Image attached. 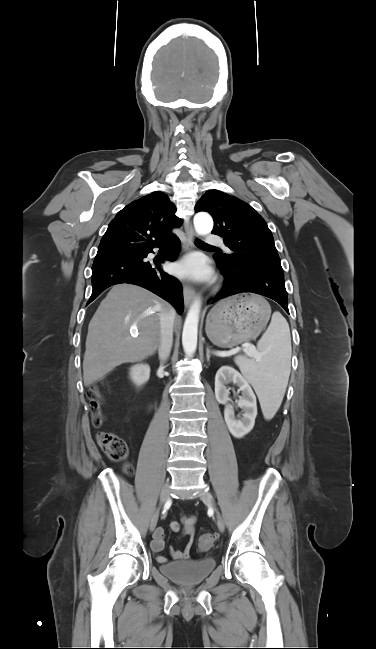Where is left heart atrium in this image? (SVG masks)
Listing matches in <instances>:
<instances>
[{"label": "left heart atrium", "instance_id": "1", "mask_svg": "<svg viewBox=\"0 0 376 649\" xmlns=\"http://www.w3.org/2000/svg\"><path fill=\"white\" fill-rule=\"evenodd\" d=\"M174 271L180 277L191 279L207 278L210 274L208 268L198 257H190L182 261L175 266Z\"/></svg>", "mask_w": 376, "mask_h": 649}]
</instances>
